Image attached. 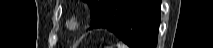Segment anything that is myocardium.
Instances as JSON below:
<instances>
[{
  "instance_id": "f54148a6",
  "label": "myocardium",
  "mask_w": 213,
  "mask_h": 48,
  "mask_svg": "<svg viewBox=\"0 0 213 48\" xmlns=\"http://www.w3.org/2000/svg\"><path fill=\"white\" fill-rule=\"evenodd\" d=\"M80 23H79V20L76 16H71L68 20H67V26L70 28V29H77L79 27Z\"/></svg>"
}]
</instances>
